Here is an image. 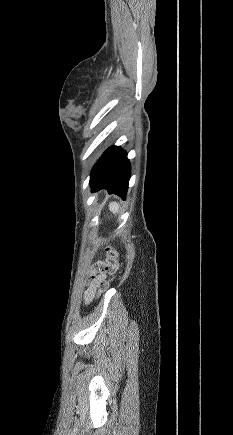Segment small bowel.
Returning a JSON list of instances; mask_svg holds the SVG:
<instances>
[{"instance_id": "c3829d8e", "label": "small bowel", "mask_w": 233, "mask_h": 435, "mask_svg": "<svg viewBox=\"0 0 233 435\" xmlns=\"http://www.w3.org/2000/svg\"><path fill=\"white\" fill-rule=\"evenodd\" d=\"M103 277V276H102ZM97 286L95 284L91 285L85 294V301L90 302L94 298V292Z\"/></svg>"}]
</instances>
